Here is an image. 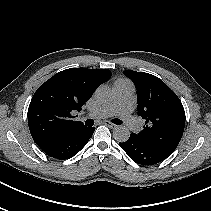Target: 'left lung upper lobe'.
Returning a JSON list of instances; mask_svg holds the SVG:
<instances>
[{
  "mask_svg": "<svg viewBox=\"0 0 211 211\" xmlns=\"http://www.w3.org/2000/svg\"><path fill=\"white\" fill-rule=\"evenodd\" d=\"M137 89L138 115L146 122L136 136L146 145L169 157L178 146L185 126V111L177 95L158 77L124 71Z\"/></svg>",
  "mask_w": 211,
  "mask_h": 211,
  "instance_id": "left-lung-upper-lobe-1",
  "label": "left lung upper lobe"
}]
</instances>
